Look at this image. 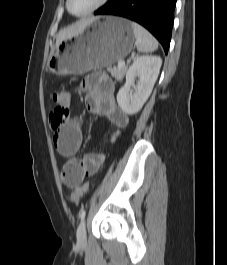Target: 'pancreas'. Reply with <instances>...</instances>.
Returning a JSON list of instances; mask_svg holds the SVG:
<instances>
[{
  "label": "pancreas",
  "mask_w": 227,
  "mask_h": 265,
  "mask_svg": "<svg viewBox=\"0 0 227 265\" xmlns=\"http://www.w3.org/2000/svg\"><path fill=\"white\" fill-rule=\"evenodd\" d=\"M107 71L110 72L111 75L115 77V79L121 81L127 71V67L126 66H123V67L108 66Z\"/></svg>",
  "instance_id": "obj_1"
}]
</instances>
